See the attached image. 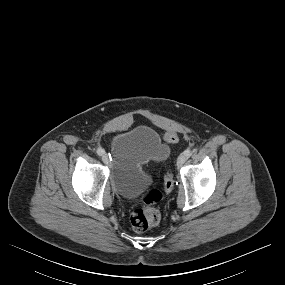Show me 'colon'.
Masks as SVG:
<instances>
[{
  "label": "colon",
  "mask_w": 285,
  "mask_h": 285,
  "mask_svg": "<svg viewBox=\"0 0 285 285\" xmlns=\"http://www.w3.org/2000/svg\"><path fill=\"white\" fill-rule=\"evenodd\" d=\"M178 140L177 134L167 132L165 141L168 144H175ZM174 180L171 172H167L164 177V190H172ZM162 199V192L158 189H152L143 197L141 203L132 211L130 222L133 229L137 232H145L155 227L160 222V213L154 208V205Z\"/></svg>",
  "instance_id": "1"
}]
</instances>
